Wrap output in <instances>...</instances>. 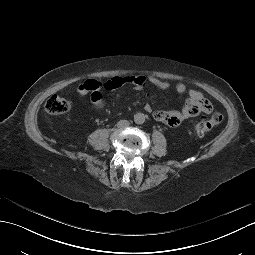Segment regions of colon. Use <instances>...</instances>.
Instances as JSON below:
<instances>
[{
  "mask_svg": "<svg viewBox=\"0 0 255 255\" xmlns=\"http://www.w3.org/2000/svg\"><path fill=\"white\" fill-rule=\"evenodd\" d=\"M73 103L58 95L51 96L45 104V109L49 114L60 115L71 110ZM223 121L221 113H214L209 119H201L197 121L192 128V133L197 137H203L210 132L215 126Z\"/></svg>",
  "mask_w": 255,
  "mask_h": 255,
  "instance_id": "colon-1",
  "label": "colon"
}]
</instances>
